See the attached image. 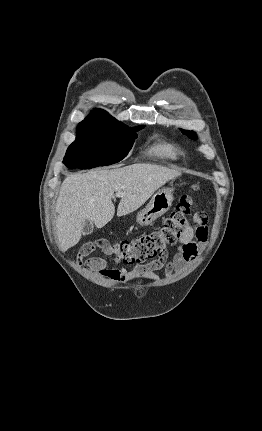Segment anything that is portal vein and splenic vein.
Segmentation results:
<instances>
[{"instance_id": "obj_1", "label": "portal vein and splenic vein", "mask_w": 262, "mask_h": 431, "mask_svg": "<svg viewBox=\"0 0 262 431\" xmlns=\"http://www.w3.org/2000/svg\"><path fill=\"white\" fill-rule=\"evenodd\" d=\"M123 195H124V192H121V191L116 192L115 194L116 197H122Z\"/></svg>"}]
</instances>
